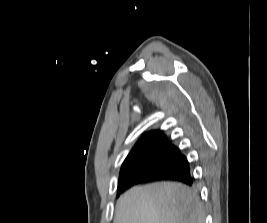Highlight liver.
<instances>
[{"instance_id":"1","label":"liver","mask_w":267,"mask_h":223,"mask_svg":"<svg viewBox=\"0 0 267 223\" xmlns=\"http://www.w3.org/2000/svg\"><path fill=\"white\" fill-rule=\"evenodd\" d=\"M199 199L174 182L134 187L118 200L113 223H204Z\"/></svg>"}]
</instances>
